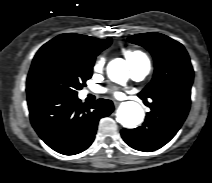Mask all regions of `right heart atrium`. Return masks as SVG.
Returning <instances> with one entry per match:
<instances>
[{
	"mask_svg": "<svg viewBox=\"0 0 212 183\" xmlns=\"http://www.w3.org/2000/svg\"><path fill=\"white\" fill-rule=\"evenodd\" d=\"M105 63L104 57H100L94 64V72H100L103 69Z\"/></svg>",
	"mask_w": 212,
	"mask_h": 183,
	"instance_id": "obj_1",
	"label": "right heart atrium"
}]
</instances>
